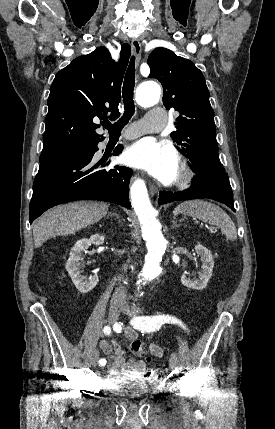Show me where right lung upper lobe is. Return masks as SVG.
<instances>
[{
    "mask_svg": "<svg viewBox=\"0 0 275 429\" xmlns=\"http://www.w3.org/2000/svg\"><path fill=\"white\" fill-rule=\"evenodd\" d=\"M130 54V45L123 44L116 63L108 49L100 47L57 73L50 87L40 158L103 140L94 121L108 113L120 115V88Z\"/></svg>",
    "mask_w": 275,
    "mask_h": 429,
    "instance_id": "1",
    "label": "right lung upper lobe"
}]
</instances>
